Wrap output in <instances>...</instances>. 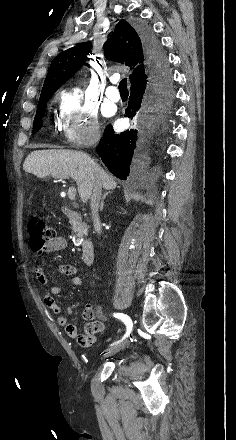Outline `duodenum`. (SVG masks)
I'll list each match as a JSON object with an SVG mask.
<instances>
[{
  "instance_id": "obj_1",
  "label": "duodenum",
  "mask_w": 236,
  "mask_h": 440,
  "mask_svg": "<svg viewBox=\"0 0 236 440\" xmlns=\"http://www.w3.org/2000/svg\"><path fill=\"white\" fill-rule=\"evenodd\" d=\"M62 212H63L64 216L71 221L77 222V221L81 220V214L68 206H63ZM81 259H82L83 263L86 265H91L93 263L94 244L88 238H85L82 241Z\"/></svg>"
}]
</instances>
